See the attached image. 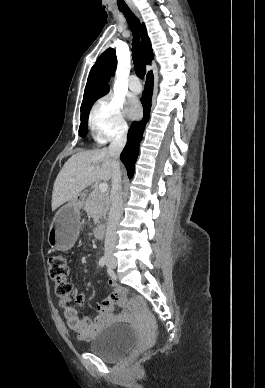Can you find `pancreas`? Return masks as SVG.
<instances>
[{
	"label": "pancreas",
	"instance_id": "cf45deb5",
	"mask_svg": "<svg viewBox=\"0 0 265 388\" xmlns=\"http://www.w3.org/2000/svg\"><path fill=\"white\" fill-rule=\"evenodd\" d=\"M109 206L108 194H102V192L96 188V190H92L91 194H89L85 202L84 210L91 214L94 224H100L101 218H106Z\"/></svg>",
	"mask_w": 265,
	"mask_h": 388
}]
</instances>
